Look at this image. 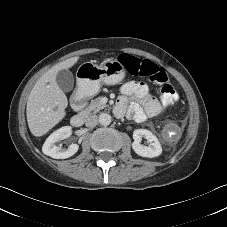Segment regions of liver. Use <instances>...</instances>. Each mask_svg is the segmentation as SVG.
<instances>
[{"label":"liver","instance_id":"6515ba94","mask_svg":"<svg viewBox=\"0 0 227 227\" xmlns=\"http://www.w3.org/2000/svg\"><path fill=\"white\" fill-rule=\"evenodd\" d=\"M78 60L79 57H72L54 65L38 79L31 90L26 116L28 127L34 136L45 135L65 117L68 100L58 86L56 76L59 71L74 66Z\"/></svg>","mask_w":227,"mask_h":227}]
</instances>
